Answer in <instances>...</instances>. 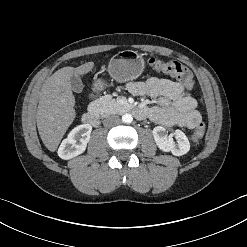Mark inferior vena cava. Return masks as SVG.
Returning <instances> with one entry per match:
<instances>
[{"instance_id": "inferior-vena-cava-1", "label": "inferior vena cava", "mask_w": 247, "mask_h": 247, "mask_svg": "<svg viewBox=\"0 0 247 247\" xmlns=\"http://www.w3.org/2000/svg\"><path fill=\"white\" fill-rule=\"evenodd\" d=\"M120 118L117 115H110L107 116L104 120H103V124L104 126H114L120 123Z\"/></svg>"}]
</instances>
